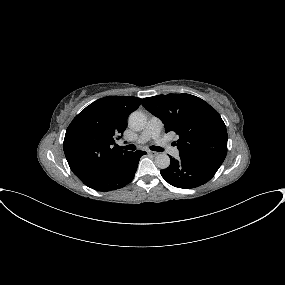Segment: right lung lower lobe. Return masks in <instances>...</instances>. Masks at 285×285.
I'll use <instances>...</instances> for the list:
<instances>
[{"mask_svg": "<svg viewBox=\"0 0 285 285\" xmlns=\"http://www.w3.org/2000/svg\"><path fill=\"white\" fill-rule=\"evenodd\" d=\"M144 154H146L144 151L131 152L111 171L83 183L94 190L103 192L122 188L133 180L139 159Z\"/></svg>", "mask_w": 285, "mask_h": 285, "instance_id": "right-lung-lower-lobe-1", "label": "right lung lower lobe"}]
</instances>
